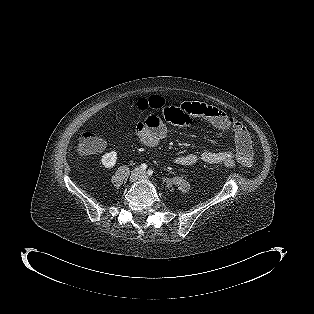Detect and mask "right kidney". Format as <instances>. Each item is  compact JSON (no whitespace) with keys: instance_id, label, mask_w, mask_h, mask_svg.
<instances>
[{"instance_id":"obj_1","label":"right kidney","mask_w":314,"mask_h":314,"mask_svg":"<svg viewBox=\"0 0 314 314\" xmlns=\"http://www.w3.org/2000/svg\"><path fill=\"white\" fill-rule=\"evenodd\" d=\"M117 161V152L111 151L106 153L101 158V163L104 165L105 168H112L115 166Z\"/></svg>"}]
</instances>
